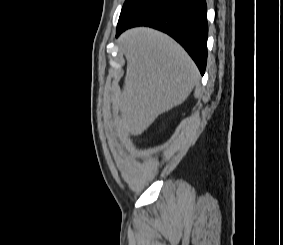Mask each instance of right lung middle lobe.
I'll list each match as a JSON object with an SVG mask.
<instances>
[{
	"instance_id": "1",
	"label": "right lung middle lobe",
	"mask_w": 283,
	"mask_h": 245,
	"mask_svg": "<svg viewBox=\"0 0 283 245\" xmlns=\"http://www.w3.org/2000/svg\"><path fill=\"white\" fill-rule=\"evenodd\" d=\"M149 1L150 0H126L122 7L118 24L126 21L132 14Z\"/></svg>"
}]
</instances>
